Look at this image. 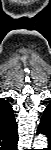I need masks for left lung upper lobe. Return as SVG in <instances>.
<instances>
[{
  "label": "left lung upper lobe",
  "instance_id": "5c2ea615",
  "mask_svg": "<svg viewBox=\"0 0 51 150\" xmlns=\"http://www.w3.org/2000/svg\"><path fill=\"white\" fill-rule=\"evenodd\" d=\"M37 133L46 135L48 139L51 137V103L46 107L43 113Z\"/></svg>",
  "mask_w": 51,
  "mask_h": 150
}]
</instances>
